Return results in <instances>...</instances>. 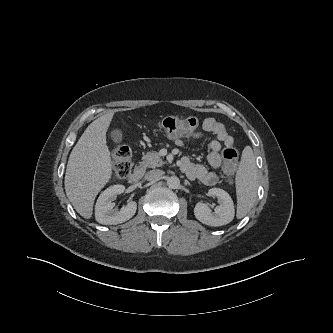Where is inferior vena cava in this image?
Returning a JSON list of instances; mask_svg holds the SVG:
<instances>
[{"mask_svg": "<svg viewBox=\"0 0 333 333\" xmlns=\"http://www.w3.org/2000/svg\"><path fill=\"white\" fill-rule=\"evenodd\" d=\"M163 174L161 170H150L145 174V179L148 181L158 179Z\"/></svg>", "mask_w": 333, "mask_h": 333, "instance_id": "602c4592", "label": "inferior vena cava"}]
</instances>
